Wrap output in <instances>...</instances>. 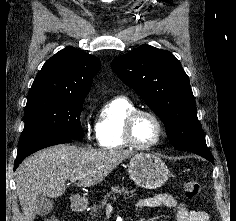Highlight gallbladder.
I'll return each instance as SVG.
<instances>
[{
  "label": "gallbladder",
  "instance_id": "gallbladder-1",
  "mask_svg": "<svg viewBox=\"0 0 236 221\" xmlns=\"http://www.w3.org/2000/svg\"><path fill=\"white\" fill-rule=\"evenodd\" d=\"M53 208V201L50 198L40 196L37 200L36 214L40 216H45Z\"/></svg>",
  "mask_w": 236,
  "mask_h": 221
}]
</instances>
